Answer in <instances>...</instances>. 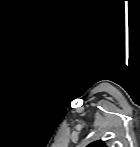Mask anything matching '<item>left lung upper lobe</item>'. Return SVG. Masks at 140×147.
<instances>
[{
    "label": "left lung upper lobe",
    "mask_w": 140,
    "mask_h": 147,
    "mask_svg": "<svg viewBox=\"0 0 140 147\" xmlns=\"http://www.w3.org/2000/svg\"><path fill=\"white\" fill-rule=\"evenodd\" d=\"M87 147H106L103 141H96L88 145Z\"/></svg>",
    "instance_id": "obj_1"
}]
</instances>
